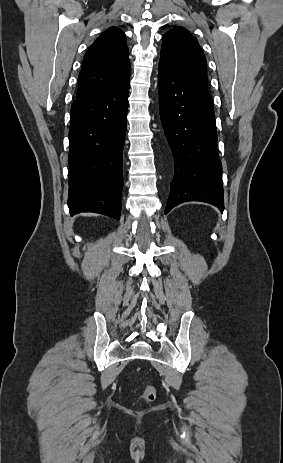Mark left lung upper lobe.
<instances>
[{
  "instance_id": "left-lung-upper-lobe-1",
  "label": "left lung upper lobe",
  "mask_w": 283,
  "mask_h": 463,
  "mask_svg": "<svg viewBox=\"0 0 283 463\" xmlns=\"http://www.w3.org/2000/svg\"><path fill=\"white\" fill-rule=\"evenodd\" d=\"M160 61L190 85L208 93L206 58L189 31L176 27L162 37Z\"/></svg>"
}]
</instances>
